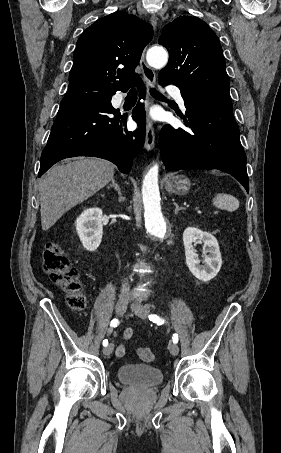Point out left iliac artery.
Here are the masks:
<instances>
[{
    "label": "left iliac artery",
    "instance_id": "44dca946",
    "mask_svg": "<svg viewBox=\"0 0 281 453\" xmlns=\"http://www.w3.org/2000/svg\"><path fill=\"white\" fill-rule=\"evenodd\" d=\"M149 317V320L156 323L157 325H162L164 323V320L161 319L159 316L155 315V314H151L148 316ZM173 343H177L178 342V335L177 334H173Z\"/></svg>",
    "mask_w": 281,
    "mask_h": 453
}]
</instances>
